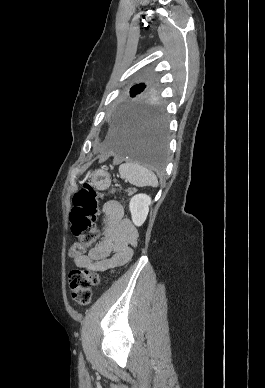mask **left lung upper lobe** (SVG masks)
Here are the masks:
<instances>
[{
    "instance_id": "left-lung-upper-lobe-1",
    "label": "left lung upper lobe",
    "mask_w": 265,
    "mask_h": 388,
    "mask_svg": "<svg viewBox=\"0 0 265 388\" xmlns=\"http://www.w3.org/2000/svg\"><path fill=\"white\" fill-rule=\"evenodd\" d=\"M130 99L124 102L120 108H156L161 104L158 94L151 86L143 83L134 85L130 89Z\"/></svg>"
}]
</instances>
